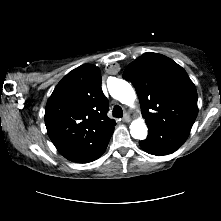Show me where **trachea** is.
I'll use <instances>...</instances> for the list:
<instances>
[{
    "mask_svg": "<svg viewBox=\"0 0 221 221\" xmlns=\"http://www.w3.org/2000/svg\"><path fill=\"white\" fill-rule=\"evenodd\" d=\"M113 116L116 118H121L123 116V110L120 106L116 105L113 108Z\"/></svg>",
    "mask_w": 221,
    "mask_h": 221,
    "instance_id": "3493384b",
    "label": "trachea"
}]
</instances>
